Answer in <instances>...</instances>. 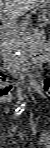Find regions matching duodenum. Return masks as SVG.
<instances>
[{
    "label": "duodenum",
    "instance_id": "duodenum-1",
    "mask_svg": "<svg viewBox=\"0 0 50 148\" xmlns=\"http://www.w3.org/2000/svg\"><path fill=\"white\" fill-rule=\"evenodd\" d=\"M46 59L44 54L29 55L24 58V62L27 66L33 67L35 64H40Z\"/></svg>",
    "mask_w": 50,
    "mask_h": 148
}]
</instances>
